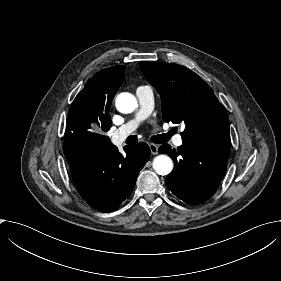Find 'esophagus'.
<instances>
[{"instance_id": "esophagus-1", "label": "esophagus", "mask_w": 281, "mask_h": 281, "mask_svg": "<svg viewBox=\"0 0 281 281\" xmlns=\"http://www.w3.org/2000/svg\"><path fill=\"white\" fill-rule=\"evenodd\" d=\"M149 147H150V150H151L152 154H157L158 153V147L155 144L149 143Z\"/></svg>"}]
</instances>
